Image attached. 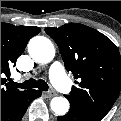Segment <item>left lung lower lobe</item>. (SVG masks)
<instances>
[{
    "label": "left lung lower lobe",
    "mask_w": 121,
    "mask_h": 121,
    "mask_svg": "<svg viewBox=\"0 0 121 121\" xmlns=\"http://www.w3.org/2000/svg\"><path fill=\"white\" fill-rule=\"evenodd\" d=\"M102 118L70 105L69 112L64 116H59L58 121H100Z\"/></svg>",
    "instance_id": "0a47b994"
}]
</instances>
